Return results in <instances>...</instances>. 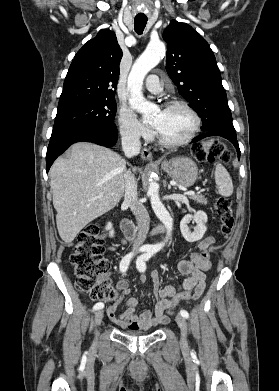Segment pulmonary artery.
I'll return each instance as SVG.
<instances>
[{"mask_svg": "<svg viewBox=\"0 0 279 391\" xmlns=\"http://www.w3.org/2000/svg\"><path fill=\"white\" fill-rule=\"evenodd\" d=\"M145 88L150 93H160L162 91V85L157 75H150L146 80Z\"/></svg>", "mask_w": 279, "mask_h": 391, "instance_id": "e3ab8cb5", "label": "pulmonary artery"}]
</instances>
